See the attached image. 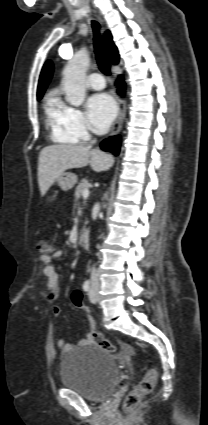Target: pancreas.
I'll return each instance as SVG.
<instances>
[{
    "instance_id": "1",
    "label": "pancreas",
    "mask_w": 208,
    "mask_h": 425,
    "mask_svg": "<svg viewBox=\"0 0 208 425\" xmlns=\"http://www.w3.org/2000/svg\"><path fill=\"white\" fill-rule=\"evenodd\" d=\"M89 187H90V183L88 182V180L82 179L81 182L77 185L75 190L76 200H78L81 196H83L84 190H88Z\"/></svg>"
}]
</instances>
